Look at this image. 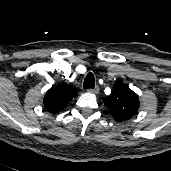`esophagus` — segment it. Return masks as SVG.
I'll use <instances>...</instances> for the list:
<instances>
[{
	"label": "esophagus",
	"mask_w": 171,
	"mask_h": 171,
	"mask_svg": "<svg viewBox=\"0 0 171 171\" xmlns=\"http://www.w3.org/2000/svg\"><path fill=\"white\" fill-rule=\"evenodd\" d=\"M88 92L97 94L99 92V87L98 86H95L94 88H89L88 89Z\"/></svg>",
	"instance_id": "obj_1"
}]
</instances>
